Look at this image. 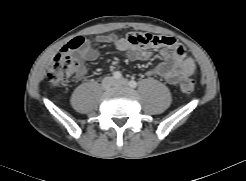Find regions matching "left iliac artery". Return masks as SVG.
Returning a JSON list of instances; mask_svg holds the SVG:
<instances>
[{"label":"left iliac artery","mask_w":246,"mask_h":181,"mask_svg":"<svg viewBox=\"0 0 246 181\" xmlns=\"http://www.w3.org/2000/svg\"><path fill=\"white\" fill-rule=\"evenodd\" d=\"M137 82L136 81H134V80H131V81H129V86L130 87H132V88H136L137 87Z\"/></svg>","instance_id":"left-iliac-artery-1"}]
</instances>
